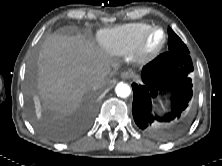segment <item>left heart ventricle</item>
I'll return each instance as SVG.
<instances>
[{
	"mask_svg": "<svg viewBox=\"0 0 222 166\" xmlns=\"http://www.w3.org/2000/svg\"><path fill=\"white\" fill-rule=\"evenodd\" d=\"M162 40V33L161 31H155L151 34V36L149 37L147 46L149 49H152L154 47H156Z\"/></svg>",
	"mask_w": 222,
	"mask_h": 166,
	"instance_id": "left-heart-ventricle-1",
	"label": "left heart ventricle"
}]
</instances>
